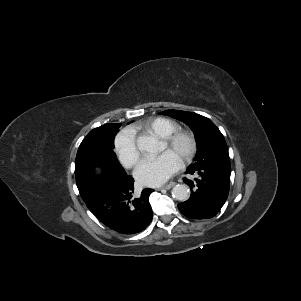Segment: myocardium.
<instances>
[{"mask_svg":"<svg viewBox=\"0 0 301 301\" xmlns=\"http://www.w3.org/2000/svg\"><path fill=\"white\" fill-rule=\"evenodd\" d=\"M162 141L170 148L179 145L183 141L187 142L188 148L181 158V162L183 163L190 162L197 153L198 143L196 136L192 131L177 130L171 135L162 138Z\"/></svg>","mask_w":301,"mask_h":301,"instance_id":"obj_1","label":"myocardium"}]
</instances>
